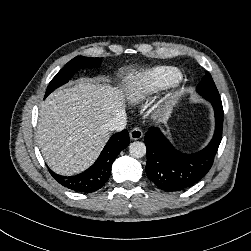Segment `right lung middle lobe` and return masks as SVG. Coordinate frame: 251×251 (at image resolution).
<instances>
[{
  "mask_svg": "<svg viewBox=\"0 0 251 251\" xmlns=\"http://www.w3.org/2000/svg\"><path fill=\"white\" fill-rule=\"evenodd\" d=\"M101 58H89L84 56H77L70 60L51 80L45 98L57 87L67 83L71 77L81 68L98 67L101 63Z\"/></svg>",
  "mask_w": 251,
  "mask_h": 251,
  "instance_id": "obj_1",
  "label": "right lung middle lobe"
}]
</instances>
